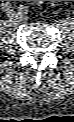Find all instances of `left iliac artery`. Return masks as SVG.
<instances>
[{
	"mask_svg": "<svg viewBox=\"0 0 74 122\" xmlns=\"http://www.w3.org/2000/svg\"><path fill=\"white\" fill-rule=\"evenodd\" d=\"M20 11L27 14L29 12V8L27 6H21Z\"/></svg>",
	"mask_w": 74,
	"mask_h": 122,
	"instance_id": "obj_1",
	"label": "left iliac artery"
}]
</instances>
